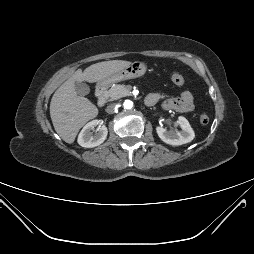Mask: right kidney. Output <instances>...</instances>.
I'll list each match as a JSON object with an SVG mask.
<instances>
[{
	"mask_svg": "<svg viewBox=\"0 0 254 254\" xmlns=\"http://www.w3.org/2000/svg\"><path fill=\"white\" fill-rule=\"evenodd\" d=\"M99 126L93 134L92 130ZM108 130L99 120L87 123L78 136V144L85 148H93L102 144L107 138Z\"/></svg>",
	"mask_w": 254,
	"mask_h": 254,
	"instance_id": "right-kidney-1",
	"label": "right kidney"
}]
</instances>
